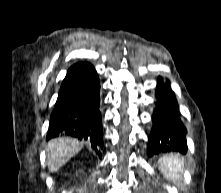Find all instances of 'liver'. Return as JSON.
<instances>
[{
	"instance_id": "1",
	"label": "liver",
	"mask_w": 221,
	"mask_h": 193,
	"mask_svg": "<svg viewBox=\"0 0 221 193\" xmlns=\"http://www.w3.org/2000/svg\"><path fill=\"white\" fill-rule=\"evenodd\" d=\"M82 147V143L71 138H57L49 141L46 146L49 171L55 172L59 170L73 156L79 153Z\"/></svg>"
}]
</instances>
